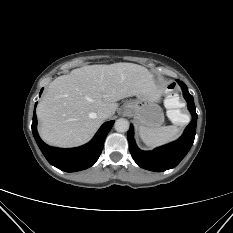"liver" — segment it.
I'll use <instances>...</instances> for the list:
<instances>
[{
  "mask_svg": "<svg viewBox=\"0 0 233 233\" xmlns=\"http://www.w3.org/2000/svg\"><path fill=\"white\" fill-rule=\"evenodd\" d=\"M144 94L159 100L150 72L133 63L88 65L53 80L37 106L39 134L50 145L75 147L88 142L103 123L98 112L112 115L117 101Z\"/></svg>",
  "mask_w": 233,
  "mask_h": 233,
  "instance_id": "1",
  "label": "liver"
}]
</instances>
